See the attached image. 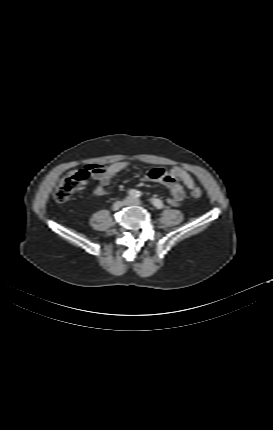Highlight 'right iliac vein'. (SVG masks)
<instances>
[{"label":"right iliac vein","mask_w":273,"mask_h":430,"mask_svg":"<svg viewBox=\"0 0 273 430\" xmlns=\"http://www.w3.org/2000/svg\"><path fill=\"white\" fill-rule=\"evenodd\" d=\"M123 205H125V200L124 201H117L112 205V209L113 210H118L120 209Z\"/></svg>","instance_id":"1"}]
</instances>
